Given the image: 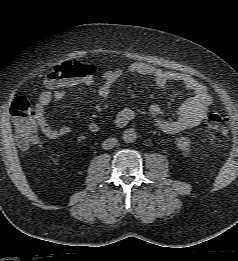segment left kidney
I'll use <instances>...</instances> for the list:
<instances>
[{"instance_id":"5707ae66","label":"left kidney","mask_w":238,"mask_h":261,"mask_svg":"<svg viewBox=\"0 0 238 261\" xmlns=\"http://www.w3.org/2000/svg\"><path fill=\"white\" fill-rule=\"evenodd\" d=\"M177 147L188 154L190 147V140L187 137H180L177 139Z\"/></svg>"}]
</instances>
